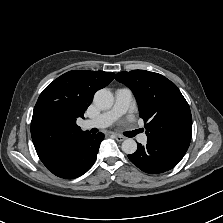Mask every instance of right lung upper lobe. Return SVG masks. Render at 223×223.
<instances>
[{"mask_svg":"<svg viewBox=\"0 0 223 223\" xmlns=\"http://www.w3.org/2000/svg\"><path fill=\"white\" fill-rule=\"evenodd\" d=\"M113 72L72 70L40 94L33 111L31 136L45 166L61 159L88 132L76 124L91 104L95 92L107 86Z\"/></svg>","mask_w":223,"mask_h":223,"instance_id":"cb5924a9","label":"right lung upper lobe"}]
</instances>
